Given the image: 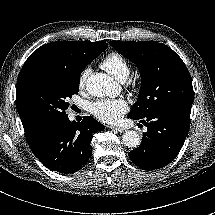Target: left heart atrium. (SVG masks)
I'll return each mask as SVG.
<instances>
[{
    "mask_svg": "<svg viewBox=\"0 0 215 215\" xmlns=\"http://www.w3.org/2000/svg\"><path fill=\"white\" fill-rule=\"evenodd\" d=\"M128 110L127 101L121 98L97 100L90 109L94 117L106 123L117 122Z\"/></svg>",
    "mask_w": 215,
    "mask_h": 215,
    "instance_id": "39dd6f15",
    "label": "left heart atrium"
}]
</instances>
